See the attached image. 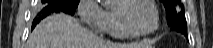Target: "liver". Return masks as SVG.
<instances>
[{"label":"liver","mask_w":213,"mask_h":48,"mask_svg":"<svg viewBox=\"0 0 213 48\" xmlns=\"http://www.w3.org/2000/svg\"><path fill=\"white\" fill-rule=\"evenodd\" d=\"M27 48H148L150 42L114 43L104 40L66 14H53L43 19L32 31Z\"/></svg>","instance_id":"obj_1"}]
</instances>
